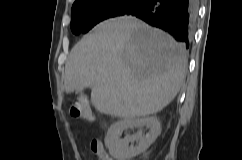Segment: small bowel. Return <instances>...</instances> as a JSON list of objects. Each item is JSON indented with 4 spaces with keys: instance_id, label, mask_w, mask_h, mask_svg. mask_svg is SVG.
<instances>
[{
    "instance_id": "obj_1",
    "label": "small bowel",
    "mask_w": 242,
    "mask_h": 160,
    "mask_svg": "<svg viewBox=\"0 0 242 160\" xmlns=\"http://www.w3.org/2000/svg\"><path fill=\"white\" fill-rule=\"evenodd\" d=\"M91 148L101 157V160H113L105 151L100 142H92Z\"/></svg>"
}]
</instances>
